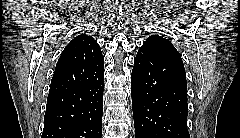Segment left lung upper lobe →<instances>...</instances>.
I'll return each mask as SVG.
<instances>
[{
	"label": "left lung upper lobe",
	"mask_w": 240,
	"mask_h": 138,
	"mask_svg": "<svg viewBox=\"0 0 240 138\" xmlns=\"http://www.w3.org/2000/svg\"><path fill=\"white\" fill-rule=\"evenodd\" d=\"M157 53H167L175 57H180L179 52L175 49L171 42L159 35L150 36L143 43L137 54L142 55Z\"/></svg>",
	"instance_id": "5c2ea615"
}]
</instances>
